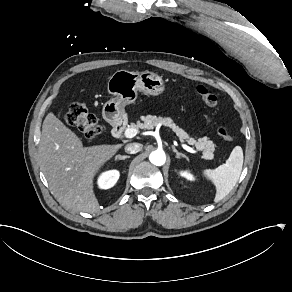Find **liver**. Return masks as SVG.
Returning <instances> with one entry per match:
<instances>
[{"mask_svg": "<svg viewBox=\"0 0 292 292\" xmlns=\"http://www.w3.org/2000/svg\"><path fill=\"white\" fill-rule=\"evenodd\" d=\"M121 146L84 148L76 134L49 113L39 141L40 168L62 205L73 211L95 213L99 203L93 193V178Z\"/></svg>", "mask_w": 292, "mask_h": 292, "instance_id": "liver-1", "label": "liver"}]
</instances>
